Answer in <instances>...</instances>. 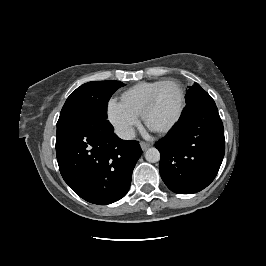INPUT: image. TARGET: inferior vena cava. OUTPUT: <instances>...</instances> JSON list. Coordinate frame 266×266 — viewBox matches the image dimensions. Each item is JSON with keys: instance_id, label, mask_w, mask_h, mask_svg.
I'll list each match as a JSON object with an SVG mask.
<instances>
[{"instance_id": "602c4592", "label": "inferior vena cava", "mask_w": 266, "mask_h": 266, "mask_svg": "<svg viewBox=\"0 0 266 266\" xmlns=\"http://www.w3.org/2000/svg\"><path fill=\"white\" fill-rule=\"evenodd\" d=\"M116 135L124 140H132L135 138V131L132 127H119L115 130Z\"/></svg>"}]
</instances>
